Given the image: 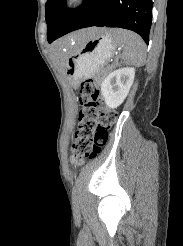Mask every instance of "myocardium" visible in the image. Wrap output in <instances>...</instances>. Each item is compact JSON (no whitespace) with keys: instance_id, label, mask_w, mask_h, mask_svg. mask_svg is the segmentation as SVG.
Listing matches in <instances>:
<instances>
[{"instance_id":"f54148a6","label":"myocardium","mask_w":183,"mask_h":246,"mask_svg":"<svg viewBox=\"0 0 183 246\" xmlns=\"http://www.w3.org/2000/svg\"><path fill=\"white\" fill-rule=\"evenodd\" d=\"M84 0H67L68 7H77L78 5L82 4Z\"/></svg>"}]
</instances>
